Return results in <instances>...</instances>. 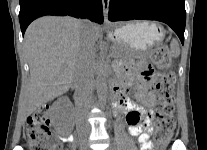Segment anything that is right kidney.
Listing matches in <instances>:
<instances>
[{"label":"right kidney","mask_w":207,"mask_h":150,"mask_svg":"<svg viewBox=\"0 0 207 150\" xmlns=\"http://www.w3.org/2000/svg\"><path fill=\"white\" fill-rule=\"evenodd\" d=\"M69 106V100L66 97L59 98L53 103L51 107V118L54 122H57L62 117L65 108Z\"/></svg>","instance_id":"ca27d5eb"}]
</instances>
